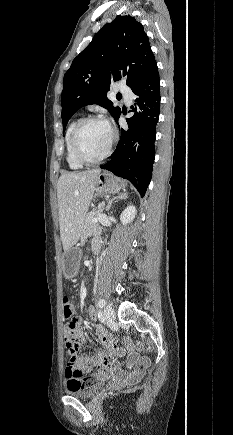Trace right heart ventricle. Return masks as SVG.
<instances>
[{"label":"right heart ventricle","mask_w":233,"mask_h":435,"mask_svg":"<svg viewBox=\"0 0 233 435\" xmlns=\"http://www.w3.org/2000/svg\"><path fill=\"white\" fill-rule=\"evenodd\" d=\"M78 121H79V119H76L70 123V125L67 128L66 135H65L66 162H67V165L73 170L82 169L84 166V164H82L81 162H79L75 158L73 151H72V146H71L72 132H73V129Z\"/></svg>","instance_id":"obj_1"}]
</instances>
